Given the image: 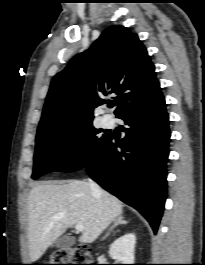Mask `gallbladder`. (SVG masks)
I'll return each instance as SVG.
<instances>
[{
	"mask_svg": "<svg viewBox=\"0 0 205 265\" xmlns=\"http://www.w3.org/2000/svg\"><path fill=\"white\" fill-rule=\"evenodd\" d=\"M74 244H75V239L71 235L61 236L54 242V246L59 249L69 248Z\"/></svg>",
	"mask_w": 205,
	"mask_h": 265,
	"instance_id": "obj_1",
	"label": "gallbladder"
}]
</instances>
